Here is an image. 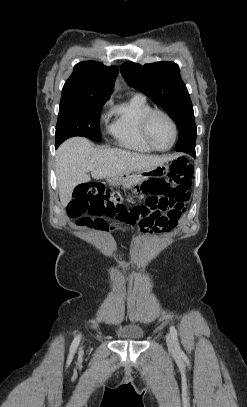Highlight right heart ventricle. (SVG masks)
<instances>
[{
  "mask_svg": "<svg viewBox=\"0 0 247 407\" xmlns=\"http://www.w3.org/2000/svg\"><path fill=\"white\" fill-rule=\"evenodd\" d=\"M152 107L141 96H134L128 102L113 107L108 132L116 143L125 149L138 153H151L141 134V120Z\"/></svg>",
  "mask_w": 247,
  "mask_h": 407,
  "instance_id": "obj_1",
  "label": "right heart ventricle"
}]
</instances>
